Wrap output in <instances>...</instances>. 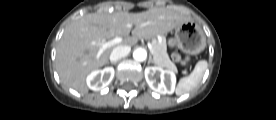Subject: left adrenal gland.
Returning a JSON list of instances; mask_svg holds the SVG:
<instances>
[{
  "label": "left adrenal gland",
  "mask_w": 276,
  "mask_h": 120,
  "mask_svg": "<svg viewBox=\"0 0 276 120\" xmlns=\"http://www.w3.org/2000/svg\"><path fill=\"white\" fill-rule=\"evenodd\" d=\"M148 63H155L154 60L152 59L151 55H149V61H148Z\"/></svg>",
  "instance_id": "left-adrenal-gland-1"
}]
</instances>
